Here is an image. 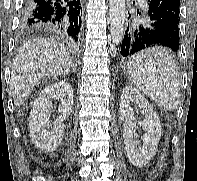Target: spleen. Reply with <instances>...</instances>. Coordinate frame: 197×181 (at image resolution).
Listing matches in <instances>:
<instances>
[{
	"label": "spleen",
	"mask_w": 197,
	"mask_h": 181,
	"mask_svg": "<svg viewBox=\"0 0 197 181\" xmlns=\"http://www.w3.org/2000/svg\"><path fill=\"white\" fill-rule=\"evenodd\" d=\"M132 84L157 105L174 110L180 97L179 73L170 53L150 47L132 56L127 64Z\"/></svg>",
	"instance_id": "3e777b00"
}]
</instances>
